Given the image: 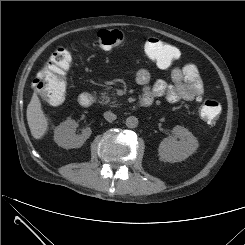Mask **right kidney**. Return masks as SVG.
I'll return each mask as SVG.
<instances>
[{
  "label": "right kidney",
  "mask_w": 245,
  "mask_h": 245,
  "mask_svg": "<svg viewBox=\"0 0 245 245\" xmlns=\"http://www.w3.org/2000/svg\"><path fill=\"white\" fill-rule=\"evenodd\" d=\"M78 123L72 119H68L55 128L54 141L65 149L80 148L84 142L90 137L92 130L86 127L80 135L76 134Z\"/></svg>",
  "instance_id": "1"
}]
</instances>
